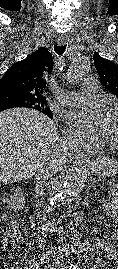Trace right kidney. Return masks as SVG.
<instances>
[{
	"label": "right kidney",
	"mask_w": 118,
	"mask_h": 269,
	"mask_svg": "<svg viewBox=\"0 0 118 269\" xmlns=\"http://www.w3.org/2000/svg\"><path fill=\"white\" fill-rule=\"evenodd\" d=\"M8 207L14 209L15 211L22 209L25 204V197L21 189L16 188L9 199H7Z\"/></svg>",
	"instance_id": "1"
}]
</instances>
